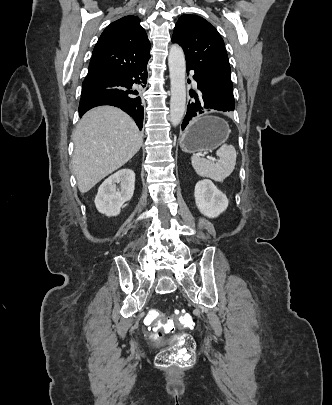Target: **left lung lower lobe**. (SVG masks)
Here are the masks:
<instances>
[{"mask_svg":"<svg viewBox=\"0 0 332 405\" xmlns=\"http://www.w3.org/2000/svg\"><path fill=\"white\" fill-rule=\"evenodd\" d=\"M189 70H191V68L187 67L188 73H189ZM193 78L197 82L198 90L196 92L193 90H190V92H189L190 96L193 99L188 104L186 117L184 118V122L182 123V130L185 129V127L188 125L189 121L193 117L204 113L207 109H214V110L223 111V112L232 111V110H228V109H223L217 103H215V101L212 98L211 92L205 86V84L203 83V80L199 74H197L195 72Z\"/></svg>","mask_w":332,"mask_h":405,"instance_id":"0a47b994","label":"left lung lower lobe"}]
</instances>
